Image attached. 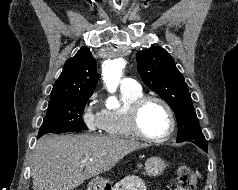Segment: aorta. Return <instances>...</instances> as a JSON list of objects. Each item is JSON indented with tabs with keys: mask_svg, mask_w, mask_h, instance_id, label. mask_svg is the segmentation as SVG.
Returning <instances> with one entry per match:
<instances>
[{
	"mask_svg": "<svg viewBox=\"0 0 238 190\" xmlns=\"http://www.w3.org/2000/svg\"><path fill=\"white\" fill-rule=\"evenodd\" d=\"M125 61L122 58L108 60L103 66V79L110 92L116 91Z\"/></svg>",
	"mask_w": 238,
	"mask_h": 190,
	"instance_id": "obj_1",
	"label": "aorta"
}]
</instances>
